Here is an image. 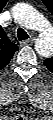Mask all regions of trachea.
Listing matches in <instances>:
<instances>
[{
  "label": "trachea",
  "mask_w": 53,
  "mask_h": 120,
  "mask_svg": "<svg viewBox=\"0 0 53 120\" xmlns=\"http://www.w3.org/2000/svg\"><path fill=\"white\" fill-rule=\"evenodd\" d=\"M17 37H18L19 41H22V40L28 39L29 35L27 34V32L24 29L18 28V30H17Z\"/></svg>",
  "instance_id": "3493384b"
}]
</instances>
